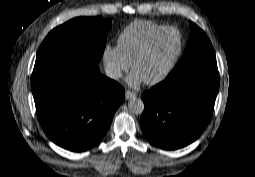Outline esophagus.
<instances>
[{
  "mask_svg": "<svg viewBox=\"0 0 255 177\" xmlns=\"http://www.w3.org/2000/svg\"><path fill=\"white\" fill-rule=\"evenodd\" d=\"M136 96H137L136 93L131 92V91H129V90H127L126 93H125V98H126L127 100H129V99H131V98H134V97H136Z\"/></svg>",
  "mask_w": 255,
  "mask_h": 177,
  "instance_id": "34e87169",
  "label": "esophagus"
}]
</instances>
